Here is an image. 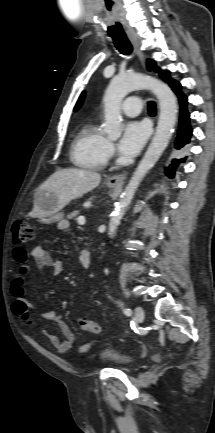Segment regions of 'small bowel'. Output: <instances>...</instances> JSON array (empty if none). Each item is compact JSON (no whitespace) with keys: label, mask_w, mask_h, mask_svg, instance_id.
I'll return each mask as SVG.
<instances>
[{"label":"small bowel","mask_w":215,"mask_h":433,"mask_svg":"<svg viewBox=\"0 0 215 433\" xmlns=\"http://www.w3.org/2000/svg\"><path fill=\"white\" fill-rule=\"evenodd\" d=\"M67 226L68 225H64L63 227L66 228ZM13 256L15 261L19 264L9 287L10 293L14 298L13 312L24 321L32 323L31 312L34 309V306L25 298L26 279L29 273V266L26 264L28 254L25 249L16 248L14 249ZM31 256L35 259L38 266L50 267L53 276H59L64 270L63 263L61 261L53 260L49 252L42 245H36L31 251ZM38 316L42 319L55 322L64 336V339L61 340L56 334L46 332V337L48 338L49 343L58 352L65 353L74 346L76 341L75 334L61 320L57 312H39ZM91 345L92 342H86L78 347V351L82 353L86 352Z\"/></svg>","instance_id":"obj_1"}]
</instances>
